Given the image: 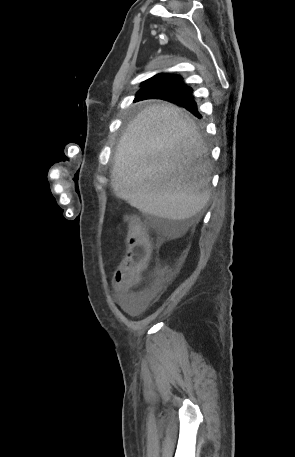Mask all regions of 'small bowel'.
<instances>
[{
	"mask_svg": "<svg viewBox=\"0 0 295 457\" xmlns=\"http://www.w3.org/2000/svg\"><path fill=\"white\" fill-rule=\"evenodd\" d=\"M114 288L118 294L121 307L129 314H138L150 304L151 297L146 293H133L125 287V278L116 271L113 279Z\"/></svg>",
	"mask_w": 295,
	"mask_h": 457,
	"instance_id": "small-bowel-1",
	"label": "small bowel"
}]
</instances>
